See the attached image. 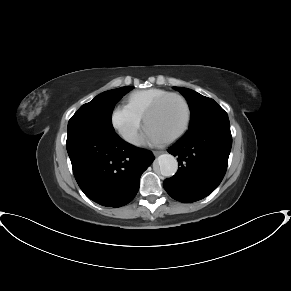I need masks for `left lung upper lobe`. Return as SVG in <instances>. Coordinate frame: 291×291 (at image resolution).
Instances as JSON below:
<instances>
[{
    "mask_svg": "<svg viewBox=\"0 0 291 291\" xmlns=\"http://www.w3.org/2000/svg\"><path fill=\"white\" fill-rule=\"evenodd\" d=\"M174 88L187 99L190 106L191 121L186 134L196 132L213 122L228 119L227 113L213 99L188 88Z\"/></svg>",
    "mask_w": 291,
    "mask_h": 291,
    "instance_id": "left-lung-upper-lobe-1",
    "label": "left lung upper lobe"
}]
</instances>
